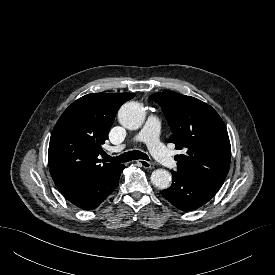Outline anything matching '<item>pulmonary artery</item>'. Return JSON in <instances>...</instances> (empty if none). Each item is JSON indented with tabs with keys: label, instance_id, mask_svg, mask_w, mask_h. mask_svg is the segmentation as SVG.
Listing matches in <instances>:
<instances>
[{
	"label": "pulmonary artery",
	"instance_id": "e3ab8cb5",
	"mask_svg": "<svg viewBox=\"0 0 275 275\" xmlns=\"http://www.w3.org/2000/svg\"><path fill=\"white\" fill-rule=\"evenodd\" d=\"M136 140L144 142L154 158L168 168L177 166L176 160L160 139V122L155 114H150L145 126L136 136Z\"/></svg>",
	"mask_w": 275,
	"mask_h": 275
}]
</instances>
